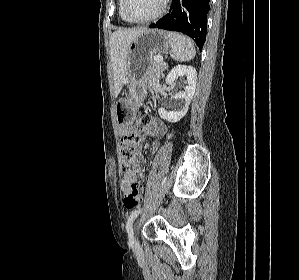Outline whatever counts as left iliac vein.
<instances>
[{"mask_svg":"<svg viewBox=\"0 0 299 280\" xmlns=\"http://www.w3.org/2000/svg\"><path fill=\"white\" fill-rule=\"evenodd\" d=\"M129 241L134 246L135 249L139 248V243L135 235V225L133 229L129 231Z\"/></svg>","mask_w":299,"mask_h":280,"instance_id":"4c4485c4","label":"left iliac vein"}]
</instances>
